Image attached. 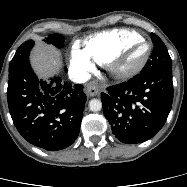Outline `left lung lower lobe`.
Wrapping results in <instances>:
<instances>
[{
    "label": "left lung lower lobe",
    "instance_id": "0a47b994",
    "mask_svg": "<svg viewBox=\"0 0 187 187\" xmlns=\"http://www.w3.org/2000/svg\"><path fill=\"white\" fill-rule=\"evenodd\" d=\"M101 93L113 134L127 144L142 143L163 127L173 101L172 69L140 73Z\"/></svg>",
    "mask_w": 187,
    "mask_h": 187
}]
</instances>
